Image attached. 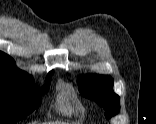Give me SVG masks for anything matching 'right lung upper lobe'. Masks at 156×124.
Segmentation results:
<instances>
[{
    "label": "right lung upper lobe",
    "mask_w": 156,
    "mask_h": 124,
    "mask_svg": "<svg viewBox=\"0 0 156 124\" xmlns=\"http://www.w3.org/2000/svg\"><path fill=\"white\" fill-rule=\"evenodd\" d=\"M0 75L18 78H32L28 73L15 67L14 60L7 54L0 51ZM52 75V72L48 74ZM33 79V78H32Z\"/></svg>",
    "instance_id": "1"
}]
</instances>
